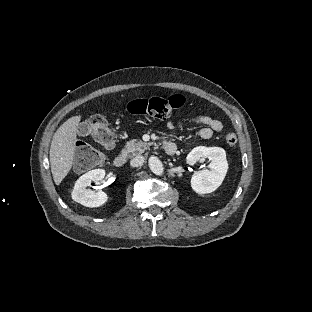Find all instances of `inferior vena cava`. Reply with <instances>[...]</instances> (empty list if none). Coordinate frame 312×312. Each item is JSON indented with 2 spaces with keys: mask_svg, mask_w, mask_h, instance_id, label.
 I'll return each instance as SVG.
<instances>
[{
  "mask_svg": "<svg viewBox=\"0 0 312 312\" xmlns=\"http://www.w3.org/2000/svg\"><path fill=\"white\" fill-rule=\"evenodd\" d=\"M144 163V157L142 155H137L130 161L132 167L142 166Z\"/></svg>",
  "mask_w": 312,
  "mask_h": 312,
  "instance_id": "inferior-vena-cava-1",
  "label": "inferior vena cava"
}]
</instances>
